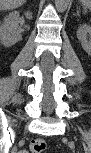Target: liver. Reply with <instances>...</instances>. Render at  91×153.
<instances>
[{"label":"liver","mask_w":91,"mask_h":153,"mask_svg":"<svg viewBox=\"0 0 91 153\" xmlns=\"http://www.w3.org/2000/svg\"><path fill=\"white\" fill-rule=\"evenodd\" d=\"M26 0H1V9H14L21 6Z\"/></svg>","instance_id":"6515ba94"}]
</instances>
